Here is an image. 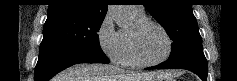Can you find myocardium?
I'll list each match as a JSON object with an SVG mask.
<instances>
[{
    "mask_svg": "<svg viewBox=\"0 0 237 81\" xmlns=\"http://www.w3.org/2000/svg\"><path fill=\"white\" fill-rule=\"evenodd\" d=\"M148 26L157 27L162 32V34L164 35V37L167 40L166 54L162 58H160L156 61L144 60L140 56L138 49H137V44H136L137 37H138L139 33L141 31H143ZM128 44H129V50H130V54H131L133 61L135 62L136 65L143 66V67L157 66L159 64L166 62L169 59V57L171 56L172 51H173V41H172L169 33L167 32V30L157 21L150 20V19H144L142 21L134 23L133 27L128 32Z\"/></svg>",
    "mask_w": 237,
    "mask_h": 81,
    "instance_id": "myocardium-1",
    "label": "myocardium"
}]
</instances>
